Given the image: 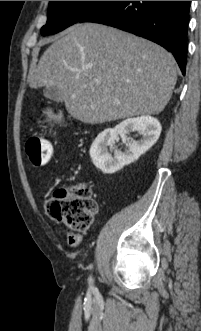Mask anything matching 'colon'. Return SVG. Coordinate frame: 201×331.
I'll list each match as a JSON object with an SVG mask.
<instances>
[{
	"label": "colon",
	"instance_id": "1",
	"mask_svg": "<svg viewBox=\"0 0 201 331\" xmlns=\"http://www.w3.org/2000/svg\"><path fill=\"white\" fill-rule=\"evenodd\" d=\"M53 120L60 121L57 115L49 113ZM51 143L39 136H31L25 142V152L36 166L47 164L52 157ZM47 210L53 220L63 223L73 231H85L91 225L97 211V203L88 185H79L71 192L57 189L47 201Z\"/></svg>",
	"mask_w": 201,
	"mask_h": 331
}]
</instances>
